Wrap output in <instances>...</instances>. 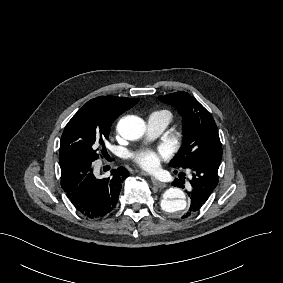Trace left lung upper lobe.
I'll return each mask as SVG.
<instances>
[{"label":"left lung upper lobe","mask_w":283,"mask_h":283,"mask_svg":"<svg viewBox=\"0 0 283 283\" xmlns=\"http://www.w3.org/2000/svg\"><path fill=\"white\" fill-rule=\"evenodd\" d=\"M159 99L183 112V145L170 166L185 169L202 157L222 156L215 121L193 96L187 92H175L159 96Z\"/></svg>","instance_id":"obj_1"}]
</instances>
